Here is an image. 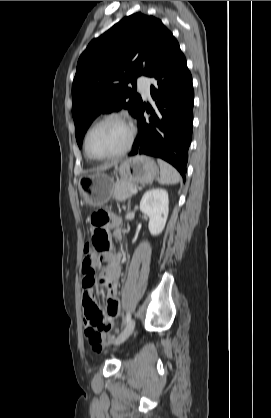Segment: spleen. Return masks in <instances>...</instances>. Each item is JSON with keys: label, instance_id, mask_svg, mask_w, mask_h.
Here are the masks:
<instances>
[{"label": "spleen", "instance_id": "spleen-1", "mask_svg": "<svg viewBox=\"0 0 271 418\" xmlns=\"http://www.w3.org/2000/svg\"><path fill=\"white\" fill-rule=\"evenodd\" d=\"M158 164L160 166V184L173 185L180 181V174L173 166L162 159H158Z\"/></svg>", "mask_w": 271, "mask_h": 418}]
</instances>
